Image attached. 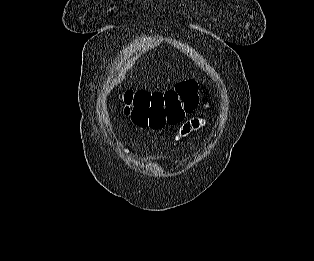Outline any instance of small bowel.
<instances>
[{
  "instance_id": "obj_1",
  "label": "small bowel",
  "mask_w": 314,
  "mask_h": 261,
  "mask_svg": "<svg viewBox=\"0 0 314 261\" xmlns=\"http://www.w3.org/2000/svg\"><path fill=\"white\" fill-rule=\"evenodd\" d=\"M200 125V121L195 119L191 124H184L183 129H178L177 133H171V140H181L184 136H187L188 131H193L194 128H197Z\"/></svg>"
}]
</instances>
